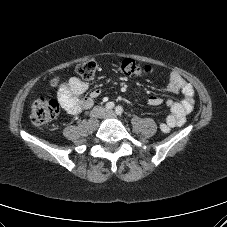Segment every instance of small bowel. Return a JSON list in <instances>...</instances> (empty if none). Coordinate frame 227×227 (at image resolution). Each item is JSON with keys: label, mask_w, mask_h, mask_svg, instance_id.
Here are the masks:
<instances>
[{"label": "small bowel", "mask_w": 227, "mask_h": 227, "mask_svg": "<svg viewBox=\"0 0 227 227\" xmlns=\"http://www.w3.org/2000/svg\"><path fill=\"white\" fill-rule=\"evenodd\" d=\"M87 89L88 84L86 82L75 77L71 78L66 84L61 85L57 91L61 107L70 115H78L83 110L91 108L94 99L101 95V90L94 89L89 96H83ZM167 90L171 93H180L183 98L181 101L167 99L166 104L170 113L166 121L160 125V129L164 133L169 132L172 128L182 126L194 107V88L178 73H171ZM162 101L159 95H153L149 97L147 103L149 106H157Z\"/></svg>", "instance_id": "obj_1"}]
</instances>
